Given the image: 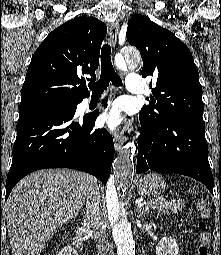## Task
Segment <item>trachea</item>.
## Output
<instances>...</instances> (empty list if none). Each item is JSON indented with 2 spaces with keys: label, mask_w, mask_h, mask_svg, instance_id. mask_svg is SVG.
Here are the masks:
<instances>
[{
  "label": "trachea",
  "mask_w": 221,
  "mask_h": 255,
  "mask_svg": "<svg viewBox=\"0 0 221 255\" xmlns=\"http://www.w3.org/2000/svg\"><path fill=\"white\" fill-rule=\"evenodd\" d=\"M111 47L109 44H104L101 50V76L96 83L88 84L93 94L103 93L107 89L109 82L119 87L122 86V80L115 72L111 62Z\"/></svg>",
  "instance_id": "3493384b"
}]
</instances>
